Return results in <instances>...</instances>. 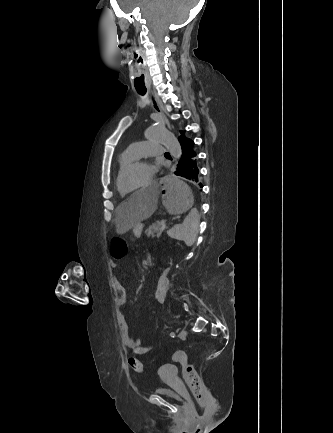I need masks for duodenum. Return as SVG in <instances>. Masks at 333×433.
<instances>
[{
  "instance_id": "obj_1",
  "label": "duodenum",
  "mask_w": 333,
  "mask_h": 433,
  "mask_svg": "<svg viewBox=\"0 0 333 433\" xmlns=\"http://www.w3.org/2000/svg\"><path fill=\"white\" fill-rule=\"evenodd\" d=\"M147 261L151 262V257L150 256L147 257Z\"/></svg>"
}]
</instances>
